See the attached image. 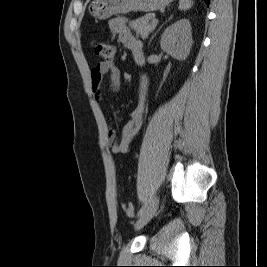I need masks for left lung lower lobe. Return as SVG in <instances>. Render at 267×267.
Wrapping results in <instances>:
<instances>
[{
  "label": "left lung lower lobe",
  "instance_id": "1",
  "mask_svg": "<svg viewBox=\"0 0 267 267\" xmlns=\"http://www.w3.org/2000/svg\"><path fill=\"white\" fill-rule=\"evenodd\" d=\"M204 2H205L207 5H209L210 0H204Z\"/></svg>",
  "mask_w": 267,
  "mask_h": 267
}]
</instances>
